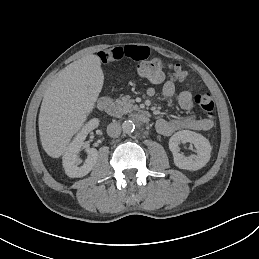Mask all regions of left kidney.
Masks as SVG:
<instances>
[{
	"mask_svg": "<svg viewBox=\"0 0 259 259\" xmlns=\"http://www.w3.org/2000/svg\"><path fill=\"white\" fill-rule=\"evenodd\" d=\"M186 142L194 144L197 155L188 158L177 153L180 150L179 145ZM169 148L173 152L175 166L183 170H200L211 158L212 147L210 142L203 135L189 130H182L173 134L170 138Z\"/></svg>",
	"mask_w": 259,
	"mask_h": 259,
	"instance_id": "obj_1",
	"label": "left kidney"
}]
</instances>
